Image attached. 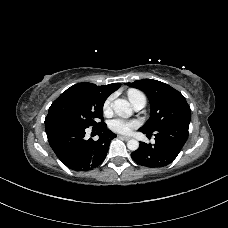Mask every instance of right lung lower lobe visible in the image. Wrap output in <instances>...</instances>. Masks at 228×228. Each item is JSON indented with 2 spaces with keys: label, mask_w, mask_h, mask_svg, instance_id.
Here are the masks:
<instances>
[{
  "label": "right lung lower lobe",
  "mask_w": 228,
  "mask_h": 228,
  "mask_svg": "<svg viewBox=\"0 0 228 228\" xmlns=\"http://www.w3.org/2000/svg\"><path fill=\"white\" fill-rule=\"evenodd\" d=\"M48 142L57 157L74 171H88L99 166L107 155L110 141L116 137L105 123L93 127L99 139L85 140L86 127L70 121H45Z\"/></svg>",
  "instance_id": "1"
}]
</instances>
